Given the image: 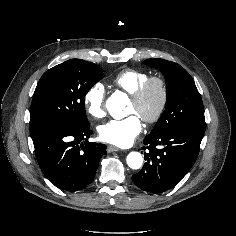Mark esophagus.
Returning <instances> with one entry per match:
<instances>
[{"label":"esophagus","instance_id":"34e87169","mask_svg":"<svg viewBox=\"0 0 236 236\" xmlns=\"http://www.w3.org/2000/svg\"><path fill=\"white\" fill-rule=\"evenodd\" d=\"M107 151H108L109 153H111V152H115V151H121V149H119L118 147L113 146V145H108V146H107Z\"/></svg>","mask_w":236,"mask_h":236}]
</instances>
